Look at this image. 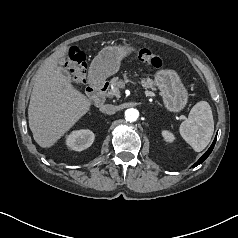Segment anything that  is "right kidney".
<instances>
[{
    "instance_id": "obj_1",
    "label": "right kidney",
    "mask_w": 238,
    "mask_h": 238,
    "mask_svg": "<svg viewBox=\"0 0 238 238\" xmlns=\"http://www.w3.org/2000/svg\"><path fill=\"white\" fill-rule=\"evenodd\" d=\"M94 138V133L88 129L77 130L67 136L66 145L74 151H82L92 145Z\"/></svg>"
}]
</instances>
